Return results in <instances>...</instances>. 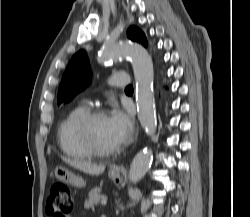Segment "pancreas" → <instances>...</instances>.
Masks as SVG:
<instances>
[{"instance_id": "obj_1", "label": "pancreas", "mask_w": 250, "mask_h": 217, "mask_svg": "<svg viewBox=\"0 0 250 217\" xmlns=\"http://www.w3.org/2000/svg\"><path fill=\"white\" fill-rule=\"evenodd\" d=\"M100 188H94L89 192L88 199L84 203L85 208H94L101 200Z\"/></svg>"}]
</instances>
